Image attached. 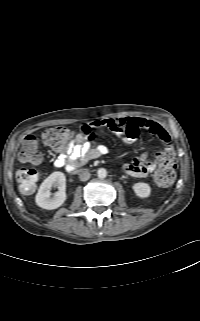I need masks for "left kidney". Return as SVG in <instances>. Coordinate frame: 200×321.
<instances>
[{"instance_id": "1", "label": "left kidney", "mask_w": 200, "mask_h": 321, "mask_svg": "<svg viewBox=\"0 0 200 321\" xmlns=\"http://www.w3.org/2000/svg\"><path fill=\"white\" fill-rule=\"evenodd\" d=\"M135 194L140 198H147L151 194V187L144 182H138L133 185Z\"/></svg>"}]
</instances>
